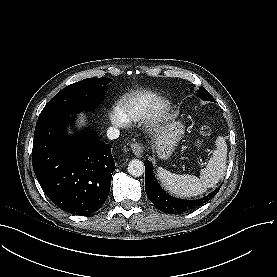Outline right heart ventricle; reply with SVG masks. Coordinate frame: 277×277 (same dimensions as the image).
Instances as JSON below:
<instances>
[{"mask_svg": "<svg viewBox=\"0 0 277 277\" xmlns=\"http://www.w3.org/2000/svg\"><path fill=\"white\" fill-rule=\"evenodd\" d=\"M155 100V94L146 90H137L123 97L116 108L124 120L138 121L146 117Z\"/></svg>", "mask_w": 277, "mask_h": 277, "instance_id": "right-heart-ventricle-1", "label": "right heart ventricle"}]
</instances>
